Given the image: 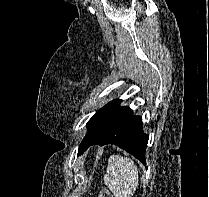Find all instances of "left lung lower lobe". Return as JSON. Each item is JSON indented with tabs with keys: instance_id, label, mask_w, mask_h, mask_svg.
I'll list each match as a JSON object with an SVG mask.
<instances>
[{
	"instance_id": "0a47b994",
	"label": "left lung lower lobe",
	"mask_w": 209,
	"mask_h": 197,
	"mask_svg": "<svg viewBox=\"0 0 209 197\" xmlns=\"http://www.w3.org/2000/svg\"><path fill=\"white\" fill-rule=\"evenodd\" d=\"M121 102L120 99L112 102L92 123L79 145L78 154L91 145L115 144L146 165L148 135L143 133L142 118L134 116L129 107H120Z\"/></svg>"
}]
</instances>
